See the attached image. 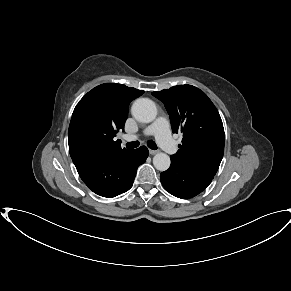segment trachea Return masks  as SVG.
<instances>
[{"instance_id":"3493384b","label":"trachea","mask_w":291,"mask_h":291,"mask_svg":"<svg viewBox=\"0 0 291 291\" xmlns=\"http://www.w3.org/2000/svg\"><path fill=\"white\" fill-rule=\"evenodd\" d=\"M139 144H140L139 141H132V142H128V143L126 144V147H127L128 149H133V148L138 147ZM147 146H148L150 149H152V150H156V149H157V145H156V143H155L153 140H149V141H147Z\"/></svg>"}]
</instances>
